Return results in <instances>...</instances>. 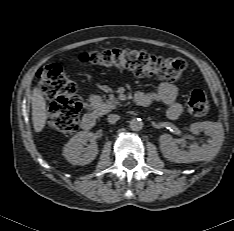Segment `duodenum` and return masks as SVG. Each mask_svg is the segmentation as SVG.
Returning <instances> with one entry per match:
<instances>
[{"mask_svg": "<svg viewBox=\"0 0 234 231\" xmlns=\"http://www.w3.org/2000/svg\"><path fill=\"white\" fill-rule=\"evenodd\" d=\"M133 100L137 105L141 107H147L150 105L149 99L139 93L134 95ZM95 122V115L91 112H88L82 117L81 127L86 131L91 130L95 126Z\"/></svg>", "mask_w": 234, "mask_h": 231, "instance_id": "410a0bca", "label": "duodenum"}]
</instances>
